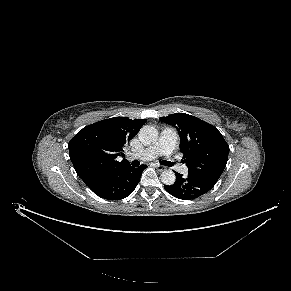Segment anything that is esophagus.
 Here are the masks:
<instances>
[{
  "label": "esophagus",
  "instance_id": "esophagus-1",
  "mask_svg": "<svg viewBox=\"0 0 291 291\" xmlns=\"http://www.w3.org/2000/svg\"><path fill=\"white\" fill-rule=\"evenodd\" d=\"M156 168H157L158 171H164V170H166V167L165 166L159 165V164L156 165Z\"/></svg>",
  "mask_w": 291,
  "mask_h": 291
}]
</instances>
